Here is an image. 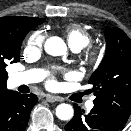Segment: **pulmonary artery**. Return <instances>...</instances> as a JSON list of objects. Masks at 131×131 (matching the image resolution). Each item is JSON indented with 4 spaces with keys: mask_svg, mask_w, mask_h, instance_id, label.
<instances>
[{
    "mask_svg": "<svg viewBox=\"0 0 131 131\" xmlns=\"http://www.w3.org/2000/svg\"><path fill=\"white\" fill-rule=\"evenodd\" d=\"M75 51H78L75 49ZM44 76V72L40 70H28L25 72L17 73L13 76L12 81L15 86L23 85V84H30L40 81ZM94 107L93 100H89L86 103L87 109H92Z\"/></svg>",
    "mask_w": 131,
    "mask_h": 131,
    "instance_id": "e3ab8cb5",
    "label": "pulmonary artery"
}]
</instances>
